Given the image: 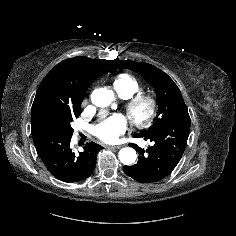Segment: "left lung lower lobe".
<instances>
[{"label": "left lung lower lobe", "mask_w": 236, "mask_h": 236, "mask_svg": "<svg viewBox=\"0 0 236 236\" xmlns=\"http://www.w3.org/2000/svg\"><path fill=\"white\" fill-rule=\"evenodd\" d=\"M190 131V120H181L150 134L134 137L150 140L153 145L144 150L129 144L139 153L133 166H124V172L142 183H154L167 177L179 163L185 150Z\"/></svg>", "instance_id": "obj_1"}]
</instances>
